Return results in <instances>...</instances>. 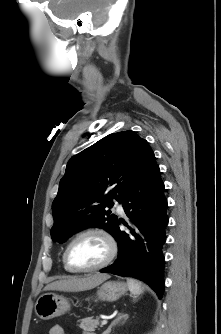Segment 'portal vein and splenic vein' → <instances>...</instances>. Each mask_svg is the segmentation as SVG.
Wrapping results in <instances>:
<instances>
[{"label": "portal vein and splenic vein", "mask_w": 221, "mask_h": 334, "mask_svg": "<svg viewBox=\"0 0 221 334\" xmlns=\"http://www.w3.org/2000/svg\"><path fill=\"white\" fill-rule=\"evenodd\" d=\"M107 324V320H102L101 321V325H106Z\"/></svg>", "instance_id": "obj_1"}]
</instances>
